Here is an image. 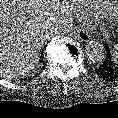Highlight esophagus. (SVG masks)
<instances>
[{
    "label": "esophagus",
    "instance_id": "34e87169",
    "mask_svg": "<svg viewBox=\"0 0 118 118\" xmlns=\"http://www.w3.org/2000/svg\"><path fill=\"white\" fill-rule=\"evenodd\" d=\"M73 33L79 41L90 42L91 40L89 32L82 25H77Z\"/></svg>",
    "mask_w": 118,
    "mask_h": 118
}]
</instances>
